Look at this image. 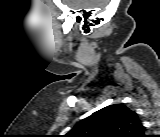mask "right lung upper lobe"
Here are the masks:
<instances>
[{
  "label": "right lung upper lobe",
  "instance_id": "cb5924a9",
  "mask_svg": "<svg viewBox=\"0 0 160 137\" xmlns=\"http://www.w3.org/2000/svg\"><path fill=\"white\" fill-rule=\"evenodd\" d=\"M145 128L137 114L124 104H114L78 122L70 137H141Z\"/></svg>",
  "mask_w": 160,
  "mask_h": 137
}]
</instances>
